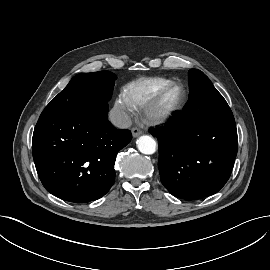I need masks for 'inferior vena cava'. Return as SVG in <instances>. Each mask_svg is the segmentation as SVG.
Returning a JSON list of instances; mask_svg holds the SVG:
<instances>
[{
  "label": "inferior vena cava",
  "mask_w": 270,
  "mask_h": 270,
  "mask_svg": "<svg viewBox=\"0 0 270 270\" xmlns=\"http://www.w3.org/2000/svg\"><path fill=\"white\" fill-rule=\"evenodd\" d=\"M109 119L114 126L121 129L129 128L132 124L126 112L115 108L110 111Z\"/></svg>",
  "instance_id": "1"
}]
</instances>
